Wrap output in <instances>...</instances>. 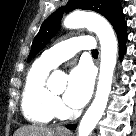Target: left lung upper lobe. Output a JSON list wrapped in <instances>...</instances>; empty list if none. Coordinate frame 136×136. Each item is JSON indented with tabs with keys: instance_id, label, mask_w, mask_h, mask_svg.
Listing matches in <instances>:
<instances>
[{
	"instance_id": "obj_1",
	"label": "left lung upper lobe",
	"mask_w": 136,
	"mask_h": 136,
	"mask_svg": "<svg viewBox=\"0 0 136 136\" xmlns=\"http://www.w3.org/2000/svg\"><path fill=\"white\" fill-rule=\"evenodd\" d=\"M92 10L103 15L115 29L124 19L119 0H69L65 7L58 8L41 25L32 43L28 62L38 54L58 32L63 13L74 9Z\"/></svg>"
}]
</instances>
